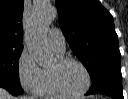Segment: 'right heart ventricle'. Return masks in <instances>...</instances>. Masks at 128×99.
<instances>
[{
  "instance_id": "right-heart-ventricle-1",
  "label": "right heart ventricle",
  "mask_w": 128,
  "mask_h": 99,
  "mask_svg": "<svg viewBox=\"0 0 128 99\" xmlns=\"http://www.w3.org/2000/svg\"><path fill=\"white\" fill-rule=\"evenodd\" d=\"M59 56H62V55H59ZM36 94L46 99H54L59 96L52 87L48 69H43V80H42L41 86L36 91Z\"/></svg>"
}]
</instances>
